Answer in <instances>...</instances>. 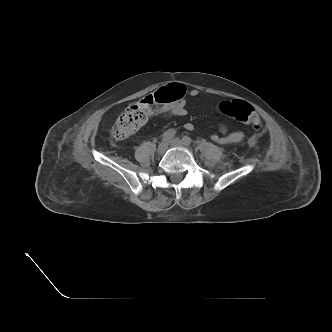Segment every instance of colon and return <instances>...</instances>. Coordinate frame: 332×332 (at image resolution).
<instances>
[{
    "label": "colon",
    "instance_id": "1",
    "mask_svg": "<svg viewBox=\"0 0 332 332\" xmlns=\"http://www.w3.org/2000/svg\"><path fill=\"white\" fill-rule=\"evenodd\" d=\"M186 88L180 83H172L162 86L154 93L147 95L139 102L129 105L117 118L111 135L115 140H124L135 134L149 119L153 112V106L161 107L173 105L181 101ZM218 111L232 117L242 123L250 125L255 134L250 139L255 144L261 136V121L255 109L246 101L232 100L219 104Z\"/></svg>",
    "mask_w": 332,
    "mask_h": 332
}]
</instances>
